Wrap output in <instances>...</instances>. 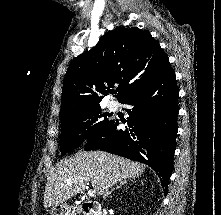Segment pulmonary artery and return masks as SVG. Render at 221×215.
<instances>
[{
  "mask_svg": "<svg viewBox=\"0 0 221 215\" xmlns=\"http://www.w3.org/2000/svg\"><path fill=\"white\" fill-rule=\"evenodd\" d=\"M108 108H109L110 110H112V111L116 110V109H117V104H116V102L110 101V102L108 103Z\"/></svg>",
  "mask_w": 221,
  "mask_h": 215,
  "instance_id": "1",
  "label": "pulmonary artery"
}]
</instances>
